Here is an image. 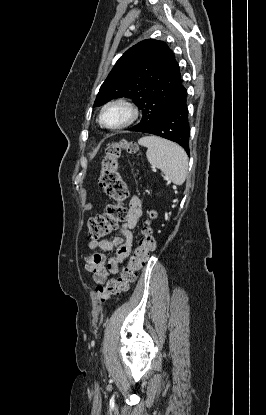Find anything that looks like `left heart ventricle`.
I'll return each mask as SVG.
<instances>
[{
    "mask_svg": "<svg viewBox=\"0 0 266 415\" xmlns=\"http://www.w3.org/2000/svg\"><path fill=\"white\" fill-rule=\"evenodd\" d=\"M127 118V112L122 107H112L103 116L104 123L110 126L118 125Z\"/></svg>",
    "mask_w": 266,
    "mask_h": 415,
    "instance_id": "b2bd125f",
    "label": "left heart ventricle"
}]
</instances>
